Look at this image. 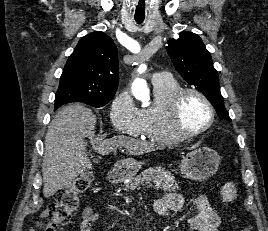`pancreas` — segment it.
Instances as JSON below:
<instances>
[{
    "mask_svg": "<svg viewBox=\"0 0 268 231\" xmlns=\"http://www.w3.org/2000/svg\"><path fill=\"white\" fill-rule=\"evenodd\" d=\"M152 184L156 189H162L163 191L179 190L174 178L169 177V174L158 166L146 169L140 175L129 177V182L125 184L123 190H134L140 185L151 186Z\"/></svg>",
    "mask_w": 268,
    "mask_h": 231,
    "instance_id": "pancreas-1",
    "label": "pancreas"
}]
</instances>
